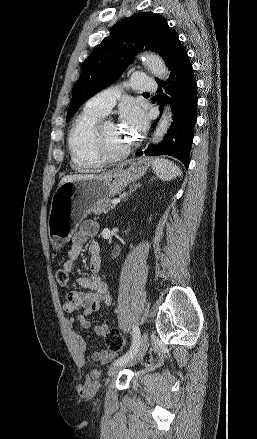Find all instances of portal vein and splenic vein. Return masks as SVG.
<instances>
[{"label":"portal vein and splenic vein","mask_w":257,"mask_h":439,"mask_svg":"<svg viewBox=\"0 0 257 439\" xmlns=\"http://www.w3.org/2000/svg\"><path fill=\"white\" fill-rule=\"evenodd\" d=\"M120 202V199L118 198V199H113L112 201H111V204H117V203H119Z\"/></svg>","instance_id":"18ae733b"}]
</instances>
